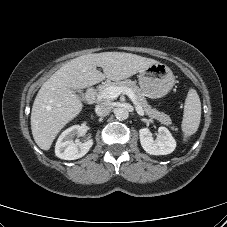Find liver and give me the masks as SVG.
I'll return each mask as SVG.
<instances>
[{"mask_svg": "<svg viewBox=\"0 0 227 227\" xmlns=\"http://www.w3.org/2000/svg\"><path fill=\"white\" fill-rule=\"evenodd\" d=\"M158 61L125 52H103L77 57L58 69L40 88L31 112L34 141L49 150L60 130L82 110L73 89H84L105 78H129ZM103 69V73L97 70Z\"/></svg>", "mask_w": 227, "mask_h": 227, "instance_id": "6515ba94", "label": "liver"}]
</instances>
